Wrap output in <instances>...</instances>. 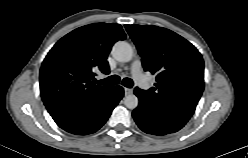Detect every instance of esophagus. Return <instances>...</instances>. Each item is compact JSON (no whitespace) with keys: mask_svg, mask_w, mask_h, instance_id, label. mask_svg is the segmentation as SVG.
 Returning a JSON list of instances; mask_svg holds the SVG:
<instances>
[{"mask_svg":"<svg viewBox=\"0 0 248 158\" xmlns=\"http://www.w3.org/2000/svg\"><path fill=\"white\" fill-rule=\"evenodd\" d=\"M133 90L132 89H129V88H124V93L125 95H129V94H132Z\"/></svg>","mask_w":248,"mask_h":158,"instance_id":"obj_1","label":"esophagus"}]
</instances>
